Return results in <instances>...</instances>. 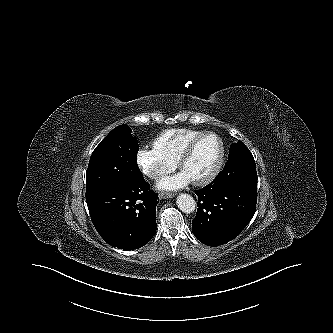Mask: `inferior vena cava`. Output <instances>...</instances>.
I'll return each mask as SVG.
<instances>
[{
	"instance_id": "1",
	"label": "inferior vena cava",
	"mask_w": 333,
	"mask_h": 333,
	"mask_svg": "<svg viewBox=\"0 0 333 333\" xmlns=\"http://www.w3.org/2000/svg\"><path fill=\"white\" fill-rule=\"evenodd\" d=\"M161 176H162L161 173H158V172H152V173H150V177H152L154 179H158Z\"/></svg>"
}]
</instances>
